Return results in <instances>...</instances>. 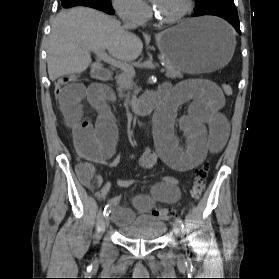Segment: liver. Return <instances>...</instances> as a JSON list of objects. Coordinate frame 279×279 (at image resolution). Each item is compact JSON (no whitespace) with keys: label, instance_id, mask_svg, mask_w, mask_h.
<instances>
[{"label":"liver","instance_id":"6515ba94","mask_svg":"<svg viewBox=\"0 0 279 279\" xmlns=\"http://www.w3.org/2000/svg\"><path fill=\"white\" fill-rule=\"evenodd\" d=\"M90 49H107L111 56L124 62L134 61L143 50L142 41L125 30L119 21L87 7L61 11L51 25L47 49L49 79L80 74L92 63Z\"/></svg>","mask_w":279,"mask_h":279}]
</instances>
